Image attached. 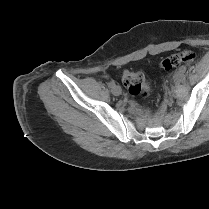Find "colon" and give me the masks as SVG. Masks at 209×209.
Returning <instances> with one entry per match:
<instances>
[{"label":"colon","mask_w":209,"mask_h":209,"mask_svg":"<svg viewBox=\"0 0 209 209\" xmlns=\"http://www.w3.org/2000/svg\"><path fill=\"white\" fill-rule=\"evenodd\" d=\"M194 54L189 50L172 54L164 58L160 66L164 70H171L181 64L193 61ZM122 82L128 92L134 96L147 97L151 94L152 86L145 75L141 72L124 70L122 74Z\"/></svg>","instance_id":"5ec220e1"}]
</instances>
